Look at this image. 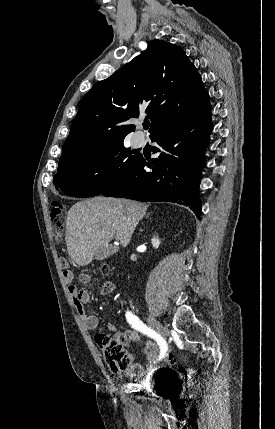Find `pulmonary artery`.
I'll return each instance as SVG.
<instances>
[{"label":"pulmonary artery","instance_id":"pulmonary-artery-1","mask_svg":"<svg viewBox=\"0 0 275 429\" xmlns=\"http://www.w3.org/2000/svg\"><path fill=\"white\" fill-rule=\"evenodd\" d=\"M133 142H134V144H135L136 146L141 145V144L144 142V137H143V135H140V134L136 135V136L133 138Z\"/></svg>","mask_w":275,"mask_h":429}]
</instances>
